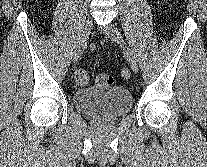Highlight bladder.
I'll return each instance as SVG.
<instances>
[{
    "label": "bladder",
    "mask_w": 207,
    "mask_h": 167,
    "mask_svg": "<svg viewBox=\"0 0 207 167\" xmlns=\"http://www.w3.org/2000/svg\"><path fill=\"white\" fill-rule=\"evenodd\" d=\"M74 106L83 114L102 120L124 116L132 107V96L122 86L87 87L73 94Z\"/></svg>",
    "instance_id": "obj_1"
}]
</instances>
